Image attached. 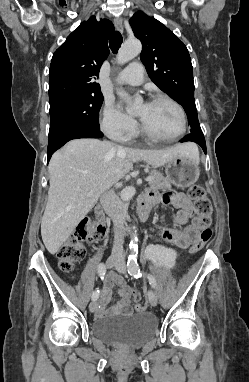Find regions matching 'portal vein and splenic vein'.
I'll list each match as a JSON object with an SVG mask.
<instances>
[{
	"label": "portal vein and splenic vein",
	"instance_id": "portal-vein-and-splenic-vein-1",
	"mask_svg": "<svg viewBox=\"0 0 249 382\" xmlns=\"http://www.w3.org/2000/svg\"><path fill=\"white\" fill-rule=\"evenodd\" d=\"M145 180L149 182V181H152L153 178L150 177V176H148V177H146ZM121 185H122V183H116V186H117V187H120ZM92 195H93V192H89V193L87 194L88 197H90V196H92Z\"/></svg>",
	"mask_w": 249,
	"mask_h": 382
}]
</instances>
